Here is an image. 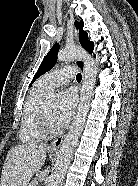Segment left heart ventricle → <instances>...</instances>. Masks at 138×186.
I'll return each instance as SVG.
<instances>
[{
  "instance_id": "left-heart-ventricle-1",
  "label": "left heart ventricle",
  "mask_w": 138,
  "mask_h": 186,
  "mask_svg": "<svg viewBox=\"0 0 138 186\" xmlns=\"http://www.w3.org/2000/svg\"><path fill=\"white\" fill-rule=\"evenodd\" d=\"M58 108V105L56 103H47L46 104V113H47V120L49 125L56 129L59 128V125L56 121V110Z\"/></svg>"
}]
</instances>
